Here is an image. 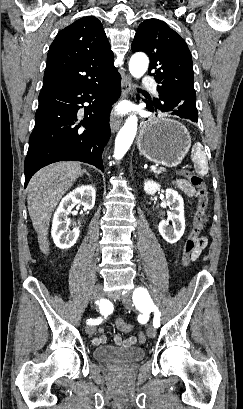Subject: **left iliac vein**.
I'll use <instances>...</instances> for the list:
<instances>
[{
    "mask_svg": "<svg viewBox=\"0 0 243 409\" xmlns=\"http://www.w3.org/2000/svg\"><path fill=\"white\" fill-rule=\"evenodd\" d=\"M124 306L131 308L132 300L129 297L123 299ZM147 336L149 338H154L156 336V328L153 325H149L146 330Z\"/></svg>",
    "mask_w": 243,
    "mask_h": 409,
    "instance_id": "obj_1",
    "label": "left iliac vein"
}]
</instances>
